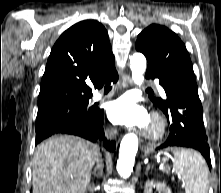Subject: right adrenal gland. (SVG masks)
I'll return each instance as SVG.
<instances>
[{
  "label": "right adrenal gland",
  "instance_id": "2a0ac1e0",
  "mask_svg": "<svg viewBox=\"0 0 221 193\" xmlns=\"http://www.w3.org/2000/svg\"><path fill=\"white\" fill-rule=\"evenodd\" d=\"M102 175V169L100 170V172L98 174H94V176L96 177H100Z\"/></svg>",
  "mask_w": 221,
  "mask_h": 193
}]
</instances>
